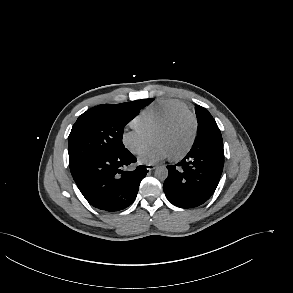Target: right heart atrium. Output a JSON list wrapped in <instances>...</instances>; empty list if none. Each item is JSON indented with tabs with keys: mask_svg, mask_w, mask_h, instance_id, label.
<instances>
[{
	"mask_svg": "<svg viewBox=\"0 0 293 293\" xmlns=\"http://www.w3.org/2000/svg\"><path fill=\"white\" fill-rule=\"evenodd\" d=\"M121 141L129 152L137 155L147 147L150 137L133 126L123 130Z\"/></svg>",
	"mask_w": 293,
	"mask_h": 293,
	"instance_id": "right-heart-atrium-1",
	"label": "right heart atrium"
}]
</instances>
